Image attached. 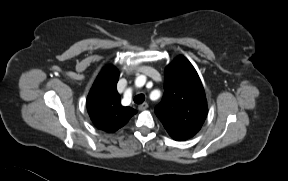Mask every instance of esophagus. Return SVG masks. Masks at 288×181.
Masks as SVG:
<instances>
[{"mask_svg": "<svg viewBox=\"0 0 288 181\" xmlns=\"http://www.w3.org/2000/svg\"><path fill=\"white\" fill-rule=\"evenodd\" d=\"M147 108H148V104L146 102H144L138 106V109L140 111L146 110Z\"/></svg>", "mask_w": 288, "mask_h": 181, "instance_id": "esophagus-1", "label": "esophagus"}]
</instances>
